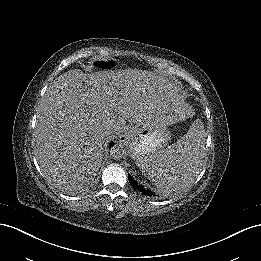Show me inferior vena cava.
<instances>
[{"label": "inferior vena cava", "instance_id": "inferior-vena-cava-1", "mask_svg": "<svg viewBox=\"0 0 261 261\" xmlns=\"http://www.w3.org/2000/svg\"><path fill=\"white\" fill-rule=\"evenodd\" d=\"M106 134H107V136H110L111 134H113V132L112 131H107Z\"/></svg>", "mask_w": 261, "mask_h": 261}]
</instances>
